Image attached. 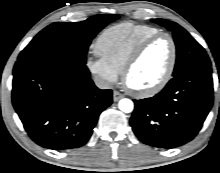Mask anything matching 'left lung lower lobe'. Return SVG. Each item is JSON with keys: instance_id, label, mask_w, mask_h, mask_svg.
Segmentation results:
<instances>
[{"instance_id": "obj_1", "label": "left lung lower lobe", "mask_w": 220, "mask_h": 173, "mask_svg": "<svg viewBox=\"0 0 220 173\" xmlns=\"http://www.w3.org/2000/svg\"><path fill=\"white\" fill-rule=\"evenodd\" d=\"M130 124L145 144L175 148L194 139L213 104L211 67L173 76L156 96L134 100Z\"/></svg>"}]
</instances>
